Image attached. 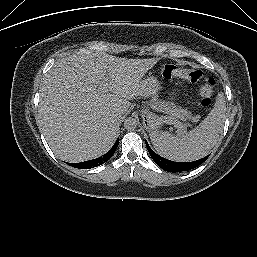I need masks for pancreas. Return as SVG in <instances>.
<instances>
[{"instance_id":"1","label":"pancreas","mask_w":257,"mask_h":257,"mask_svg":"<svg viewBox=\"0 0 257 257\" xmlns=\"http://www.w3.org/2000/svg\"><path fill=\"white\" fill-rule=\"evenodd\" d=\"M151 106L159 112L168 114L169 116L165 118L167 122L169 119L176 121L178 119L188 120L191 118L190 112L180 106H175L173 103L159 101L158 99L154 98L151 101Z\"/></svg>"}]
</instances>
